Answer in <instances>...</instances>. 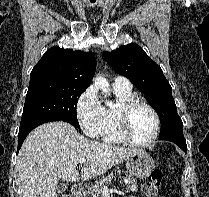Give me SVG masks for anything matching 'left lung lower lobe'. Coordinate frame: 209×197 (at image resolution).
<instances>
[{"mask_svg":"<svg viewBox=\"0 0 209 197\" xmlns=\"http://www.w3.org/2000/svg\"><path fill=\"white\" fill-rule=\"evenodd\" d=\"M159 140H167L174 142L178 145L185 153H187L186 140L184 138L183 132H171L159 137Z\"/></svg>","mask_w":209,"mask_h":197,"instance_id":"1","label":"left lung lower lobe"}]
</instances>
